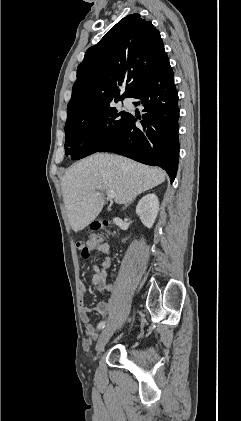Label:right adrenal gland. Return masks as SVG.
<instances>
[{"label":"right adrenal gland","instance_id":"right-adrenal-gland-1","mask_svg":"<svg viewBox=\"0 0 241 421\" xmlns=\"http://www.w3.org/2000/svg\"><path fill=\"white\" fill-rule=\"evenodd\" d=\"M136 197H134L133 199H131L127 204H125V206L123 207V209L127 208L128 205H130L133 200H135Z\"/></svg>","mask_w":241,"mask_h":421}]
</instances>
